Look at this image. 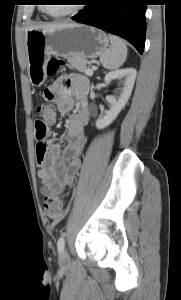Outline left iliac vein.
<instances>
[{
	"label": "left iliac vein",
	"instance_id": "obj_1",
	"mask_svg": "<svg viewBox=\"0 0 181 300\" xmlns=\"http://www.w3.org/2000/svg\"><path fill=\"white\" fill-rule=\"evenodd\" d=\"M70 263V256L66 250H63L59 256V264L62 267H67Z\"/></svg>",
	"mask_w": 181,
	"mask_h": 300
}]
</instances>
